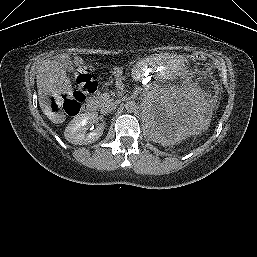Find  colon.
Masks as SVG:
<instances>
[{
  "label": "colon",
  "mask_w": 257,
  "mask_h": 257,
  "mask_svg": "<svg viewBox=\"0 0 257 257\" xmlns=\"http://www.w3.org/2000/svg\"><path fill=\"white\" fill-rule=\"evenodd\" d=\"M192 60L204 62L206 56L203 53L195 52L191 55ZM97 88V83L93 78L92 70L89 67L80 69L76 76L73 88H67L59 99L52 98L50 107L53 112L62 109L69 115H75L79 112L83 101L93 93Z\"/></svg>",
  "instance_id": "colon-1"
}]
</instances>
